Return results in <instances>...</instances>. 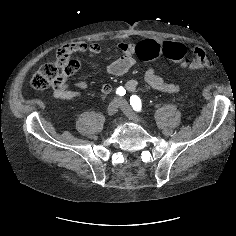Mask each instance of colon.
Listing matches in <instances>:
<instances>
[{"label": "colon", "instance_id": "obj_1", "mask_svg": "<svg viewBox=\"0 0 236 236\" xmlns=\"http://www.w3.org/2000/svg\"><path fill=\"white\" fill-rule=\"evenodd\" d=\"M188 49L182 43L165 41L160 44L142 42L136 55L143 61H151L160 56L178 62L182 67L188 69H201L210 64L205 51L201 47H194L193 58L186 59ZM72 61V55L64 48L57 51L56 59L43 64L31 79L34 89L42 90L51 85H58L67 72Z\"/></svg>", "mask_w": 236, "mask_h": 236}]
</instances>
